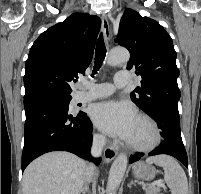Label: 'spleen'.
<instances>
[{
  "label": "spleen",
  "mask_w": 201,
  "mask_h": 194,
  "mask_svg": "<svg viewBox=\"0 0 201 194\" xmlns=\"http://www.w3.org/2000/svg\"><path fill=\"white\" fill-rule=\"evenodd\" d=\"M148 164L154 163L164 169V179L172 194H188V181L186 174L179 163L168 155L148 157Z\"/></svg>",
  "instance_id": "3e777b00"
}]
</instances>
